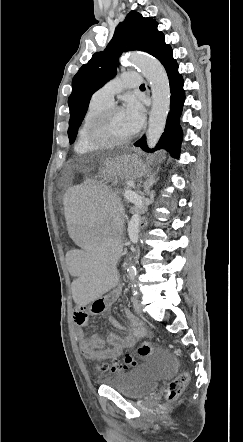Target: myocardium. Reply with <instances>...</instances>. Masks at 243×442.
Instances as JSON below:
<instances>
[{"label": "myocardium", "instance_id": "obj_1", "mask_svg": "<svg viewBox=\"0 0 243 442\" xmlns=\"http://www.w3.org/2000/svg\"><path fill=\"white\" fill-rule=\"evenodd\" d=\"M122 110L118 106H110L109 108L102 111L90 122L87 129V136L89 141L98 148H112L123 146L129 143L134 138V133L129 137L121 140L109 141L105 140L101 133L105 128L107 122L109 121L112 114L116 111Z\"/></svg>", "mask_w": 243, "mask_h": 442}]
</instances>
